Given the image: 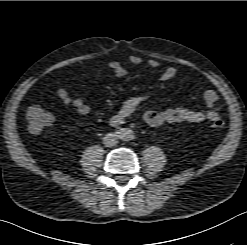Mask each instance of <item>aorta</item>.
Returning a JSON list of instances; mask_svg holds the SVG:
<instances>
[{
    "label": "aorta",
    "mask_w": 247,
    "mask_h": 245,
    "mask_svg": "<svg viewBox=\"0 0 247 245\" xmlns=\"http://www.w3.org/2000/svg\"><path fill=\"white\" fill-rule=\"evenodd\" d=\"M120 137L123 140L130 141L135 138L134 132L131 129H123L121 131Z\"/></svg>",
    "instance_id": "762f6f07"
}]
</instances>
